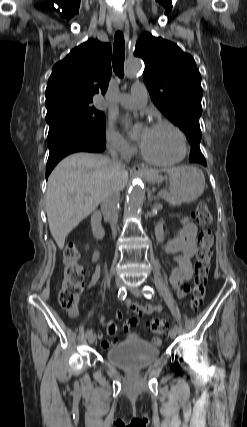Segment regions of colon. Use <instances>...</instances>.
Masks as SVG:
<instances>
[{"label": "colon", "mask_w": 247, "mask_h": 427, "mask_svg": "<svg viewBox=\"0 0 247 427\" xmlns=\"http://www.w3.org/2000/svg\"><path fill=\"white\" fill-rule=\"evenodd\" d=\"M195 217L201 226L198 241L199 248L194 264V278L189 301V310L197 311L206 292L207 279L212 258L213 234L210 229L212 213L205 202H200L195 211ZM79 250L74 243H68L63 251L64 273L59 292V303L70 315H76L78 311L79 295L83 284V272L79 265ZM149 328L156 334H165L169 329L166 320L153 318L149 322Z\"/></svg>", "instance_id": "1"}]
</instances>
